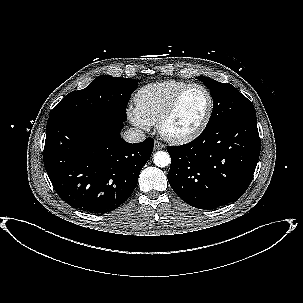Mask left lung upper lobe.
Listing matches in <instances>:
<instances>
[{"mask_svg": "<svg viewBox=\"0 0 303 303\" xmlns=\"http://www.w3.org/2000/svg\"><path fill=\"white\" fill-rule=\"evenodd\" d=\"M198 79L210 89L213 99V111L206 127L222 121L256 114L251 101L231 84L221 83L203 76Z\"/></svg>", "mask_w": 303, "mask_h": 303, "instance_id": "5c2ea615", "label": "left lung upper lobe"}]
</instances>
